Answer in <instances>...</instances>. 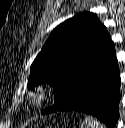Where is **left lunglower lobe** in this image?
<instances>
[{
  "instance_id": "1",
  "label": "left lung lower lobe",
  "mask_w": 125,
  "mask_h": 128,
  "mask_svg": "<svg viewBox=\"0 0 125 128\" xmlns=\"http://www.w3.org/2000/svg\"><path fill=\"white\" fill-rule=\"evenodd\" d=\"M120 98V73L113 47L87 72L73 99L57 111L90 114L114 128L119 119Z\"/></svg>"
}]
</instances>
